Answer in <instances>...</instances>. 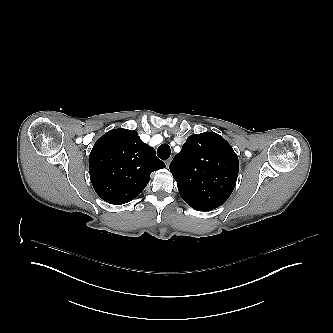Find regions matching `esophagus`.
Segmentation results:
<instances>
[{"mask_svg": "<svg viewBox=\"0 0 333 333\" xmlns=\"http://www.w3.org/2000/svg\"><path fill=\"white\" fill-rule=\"evenodd\" d=\"M170 164V159L166 161V166L168 167Z\"/></svg>", "mask_w": 333, "mask_h": 333, "instance_id": "esophagus-1", "label": "esophagus"}]
</instances>
